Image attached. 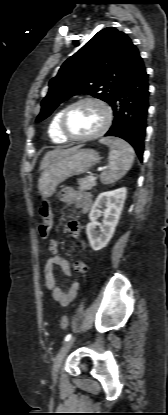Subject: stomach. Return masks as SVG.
I'll list each match as a JSON object with an SVG mask.
<instances>
[{"label":"stomach","mask_w":168,"mask_h":415,"mask_svg":"<svg viewBox=\"0 0 168 415\" xmlns=\"http://www.w3.org/2000/svg\"><path fill=\"white\" fill-rule=\"evenodd\" d=\"M99 160L97 151L74 147L41 174L38 180L39 193L44 197L52 196L59 184L70 177L85 173Z\"/></svg>","instance_id":"obj_1"}]
</instances>
